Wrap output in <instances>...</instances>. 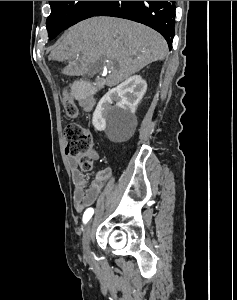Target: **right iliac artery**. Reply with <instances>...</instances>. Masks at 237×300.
<instances>
[{"instance_id":"1","label":"right iliac artery","mask_w":237,"mask_h":300,"mask_svg":"<svg viewBox=\"0 0 237 300\" xmlns=\"http://www.w3.org/2000/svg\"><path fill=\"white\" fill-rule=\"evenodd\" d=\"M93 213H94L93 208H88V209L84 212V215H83V223L86 224V223L90 220V218L92 217Z\"/></svg>"}]
</instances>
